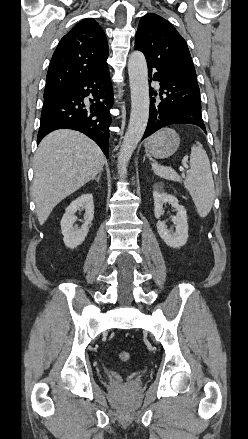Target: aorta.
Listing matches in <instances>:
<instances>
[{
	"mask_svg": "<svg viewBox=\"0 0 248 439\" xmlns=\"http://www.w3.org/2000/svg\"><path fill=\"white\" fill-rule=\"evenodd\" d=\"M128 74L131 90V114L118 154V173L120 177L126 175L128 162L144 134L149 118L148 69L142 52L134 51L129 56Z\"/></svg>",
	"mask_w": 248,
	"mask_h": 439,
	"instance_id": "obj_1",
	"label": "aorta"
}]
</instances>
